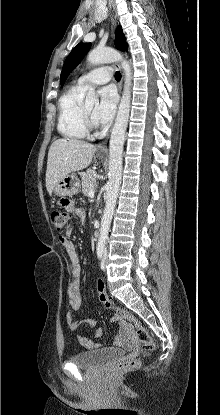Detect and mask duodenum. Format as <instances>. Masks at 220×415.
<instances>
[{
    "instance_id": "1",
    "label": "duodenum",
    "mask_w": 220,
    "mask_h": 415,
    "mask_svg": "<svg viewBox=\"0 0 220 415\" xmlns=\"http://www.w3.org/2000/svg\"><path fill=\"white\" fill-rule=\"evenodd\" d=\"M94 237L98 238L100 236V227L97 226L93 231Z\"/></svg>"
}]
</instances>
